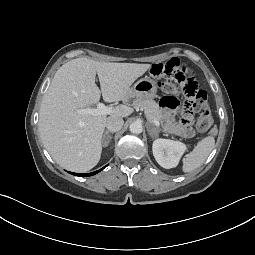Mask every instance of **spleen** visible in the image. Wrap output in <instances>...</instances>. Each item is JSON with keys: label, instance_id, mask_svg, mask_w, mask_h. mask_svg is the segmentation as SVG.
Returning <instances> with one entry per match:
<instances>
[{"label": "spleen", "instance_id": "3e777b00", "mask_svg": "<svg viewBox=\"0 0 255 255\" xmlns=\"http://www.w3.org/2000/svg\"><path fill=\"white\" fill-rule=\"evenodd\" d=\"M214 146L215 139L212 136H207L200 140L194 147L193 151L183 158V172H192L200 167L212 152Z\"/></svg>", "mask_w": 255, "mask_h": 255}]
</instances>
